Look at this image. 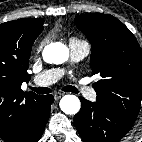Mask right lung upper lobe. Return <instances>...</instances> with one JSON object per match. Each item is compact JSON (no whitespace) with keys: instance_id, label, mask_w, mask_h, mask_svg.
<instances>
[{"instance_id":"obj_1","label":"right lung upper lobe","mask_w":142,"mask_h":142,"mask_svg":"<svg viewBox=\"0 0 142 142\" xmlns=\"http://www.w3.org/2000/svg\"><path fill=\"white\" fill-rule=\"evenodd\" d=\"M42 18H24L0 25V137L14 142L30 126L43 96L23 92L33 42L42 32Z\"/></svg>"}]
</instances>
